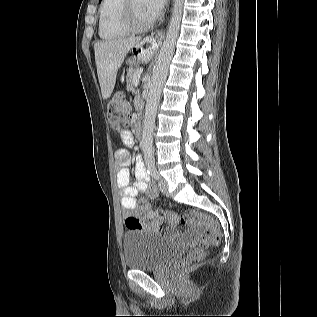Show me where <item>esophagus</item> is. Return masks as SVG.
<instances>
[{
    "mask_svg": "<svg viewBox=\"0 0 317 317\" xmlns=\"http://www.w3.org/2000/svg\"><path fill=\"white\" fill-rule=\"evenodd\" d=\"M164 38V32L162 30L156 33H151L145 38L146 41H161Z\"/></svg>",
    "mask_w": 317,
    "mask_h": 317,
    "instance_id": "obj_1",
    "label": "esophagus"
}]
</instances>
